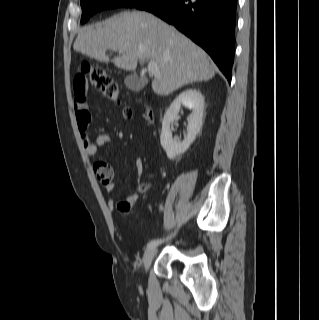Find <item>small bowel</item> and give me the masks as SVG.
Returning <instances> with one entry per match:
<instances>
[{
	"label": "small bowel",
	"mask_w": 319,
	"mask_h": 320,
	"mask_svg": "<svg viewBox=\"0 0 319 320\" xmlns=\"http://www.w3.org/2000/svg\"><path fill=\"white\" fill-rule=\"evenodd\" d=\"M75 100H74V108H75V120L78 126V129L81 133V139L84 146L85 153L88 157H93L97 154L99 148H106L107 153L111 154L110 144H111V136L108 134H100L95 139H92L88 133V125L91 121V114L89 111V105L86 99V86L75 87ZM102 162V161H98ZM97 163V162H96ZM135 167L139 174V184L142 185L143 182V172H144V162L141 158H137L135 160ZM97 177L99 176L104 177V180L101 181L104 189L107 192H112L117 183L113 178L112 169L110 171L107 170H100L96 174ZM136 194H130L127 196V201L129 202H136L137 201ZM110 205L114 204V200L109 201Z\"/></svg>",
	"instance_id": "1"
}]
</instances>
